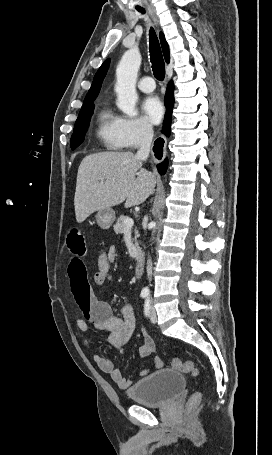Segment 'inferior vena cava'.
<instances>
[{
	"label": "inferior vena cava",
	"instance_id": "obj_1",
	"mask_svg": "<svg viewBox=\"0 0 272 455\" xmlns=\"http://www.w3.org/2000/svg\"><path fill=\"white\" fill-rule=\"evenodd\" d=\"M153 139V129L151 125H145L142 131V136H141V144L140 148L137 151L136 157L141 159V160H147L149 157L150 149H151V143ZM151 274H152V262L151 259H148L147 261V275L149 280H151Z\"/></svg>",
	"mask_w": 272,
	"mask_h": 455
}]
</instances>
